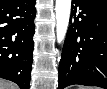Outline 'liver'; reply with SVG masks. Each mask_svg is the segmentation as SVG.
Returning a JSON list of instances; mask_svg holds the SVG:
<instances>
[{"label":"liver","instance_id":"liver-1","mask_svg":"<svg viewBox=\"0 0 107 89\" xmlns=\"http://www.w3.org/2000/svg\"><path fill=\"white\" fill-rule=\"evenodd\" d=\"M0 89H18L16 85L10 82L1 81Z\"/></svg>","mask_w":107,"mask_h":89}]
</instances>
